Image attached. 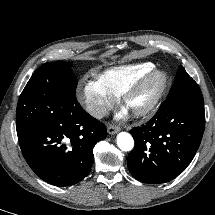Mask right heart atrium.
<instances>
[{"mask_svg":"<svg viewBox=\"0 0 215 215\" xmlns=\"http://www.w3.org/2000/svg\"><path fill=\"white\" fill-rule=\"evenodd\" d=\"M76 96L83 108L94 118H103L116 102V95L96 77L80 81Z\"/></svg>","mask_w":215,"mask_h":215,"instance_id":"d8ad5b80","label":"right heart atrium"}]
</instances>
